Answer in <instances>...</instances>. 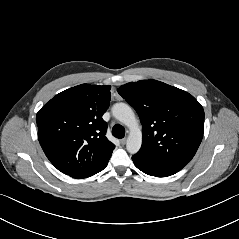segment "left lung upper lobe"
<instances>
[{
  "instance_id": "1",
  "label": "left lung upper lobe",
  "mask_w": 239,
  "mask_h": 239,
  "mask_svg": "<svg viewBox=\"0 0 239 239\" xmlns=\"http://www.w3.org/2000/svg\"><path fill=\"white\" fill-rule=\"evenodd\" d=\"M136 110L142 146L135 155L180 171L195 155L204 132V111L186 91L157 80L130 82L117 89Z\"/></svg>"
}]
</instances>
